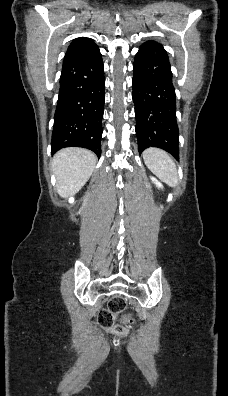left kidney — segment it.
Masks as SVG:
<instances>
[{
  "instance_id": "5707ae66",
  "label": "left kidney",
  "mask_w": 228,
  "mask_h": 396,
  "mask_svg": "<svg viewBox=\"0 0 228 396\" xmlns=\"http://www.w3.org/2000/svg\"><path fill=\"white\" fill-rule=\"evenodd\" d=\"M152 182L156 185L158 188H163V185L161 182H159L156 178L151 177Z\"/></svg>"
}]
</instances>
